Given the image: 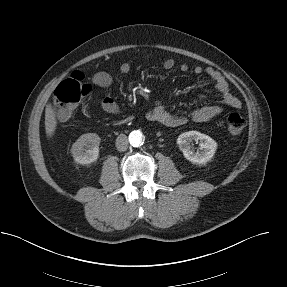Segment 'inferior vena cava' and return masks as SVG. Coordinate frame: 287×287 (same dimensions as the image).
Listing matches in <instances>:
<instances>
[{"instance_id":"inferior-vena-cava-1","label":"inferior vena cava","mask_w":287,"mask_h":287,"mask_svg":"<svg viewBox=\"0 0 287 287\" xmlns=\"http://www.w3.org/2000/svg\"><path fill=\"white\" fill-rule=\"evenodd\" d=\"M116 148L119 151H126L128 148V138L125 134H120L116 139Z\"/></svg>"}]
</instances>
